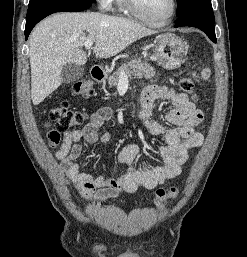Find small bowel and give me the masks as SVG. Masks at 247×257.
I'll return each instance as SVG.
<instances>
[{"label": "small bowel", "instance_id": "1", "mask_svg": "<svg viewBox=\"0 0 247 257\" xmlns=\"http://www.w3.org/2000/svg\"><path fill=\"white\" fill-rule=\"evenodd\" d=\"M158 99L168 100L172 104V108L164 116V120L173 125L171 128L150 118V110ZM140 103L139 118L144 126L150 133L165 137V144L158 148L163 164L137 169L134 161L139 154V146L128 143L118 154V161L126 166V172L119 178L81 172L77 159L83 151L82 141L94 144L97 141L106 143L110 139L109 132L101 135L99 132L112 119L113 110L99 108L83 129L65 131L63 141L55 152V157L61 162L67 177L74 183L82 198L104 202L117 197L121 192L136 193L141 188L155 189L180 175L190 152L202 145L204 137L196 127L203 121L204 114L189 101L186 94L165 86L149 85L142 91Z\"/></svg>", "mask_w": 247, "mask_h": 257}]
</instances>
